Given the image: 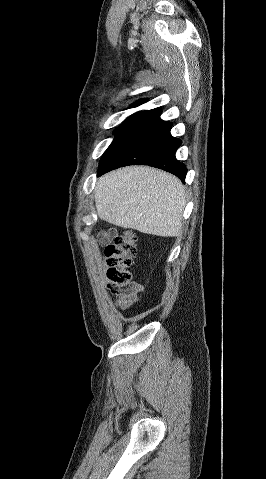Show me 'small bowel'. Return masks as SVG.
I'll use <instances>...</instances> for the list:
<instances>
[{"instance_id":"c3829d8e","label":"small bowel","mask_w":266,"mask_h":479,"mask_svg":"<svg viewBox=\"0 0 266 479\" xmlns=\"http://www.w3.org/2000/svg\"><path fill=\"white\" fill-rule=\"evenodd\" d=\"M142 290L141 284L133 282L130 290L115 292L117 305L123 310L133 307L138 303Z\"/></svg>"}]
</instances>
